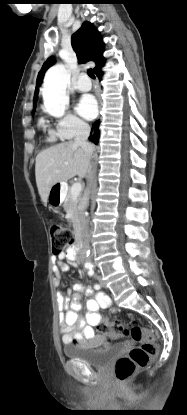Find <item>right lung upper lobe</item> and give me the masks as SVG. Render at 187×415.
Returning <instances> with one entry per match:
<instances>
[{
	"mask_svg": "<svg viewBox=\"0 0 187 415\" xmlns=\"http://www.w3.org/2000/svg\"><path fill=\"white\" fill-rule=\"evenodd\" d=\"M71 44L80 63H86L88 61L95 62L96 67L93 69L94 72H97L104 64L105 59L102 56L104 44L99 32L91 23L84 22L82 24L81 28L72 35ZM54 62L55 60L53 57L48 58L38 73L33 99L34 109L36 106L39 86L43 81L44 74L46 70L54 64Z\"/></svg>",
	"mask_w": 187,
	"mask_h": 415,
	"instance_id": "cb5924a9",
	"label": "right lung upper lobe"
}]
</instances>
